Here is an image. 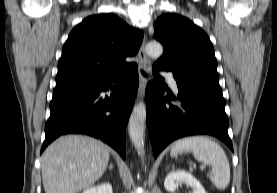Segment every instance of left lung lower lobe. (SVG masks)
Here are the masks:
<instances>
[{
	"label": "left lung lower lobe",
	"instance_id": "0a47b994",
	"mask_svg": "<svg viewBox=\"0 0 277 193\" xmlns=\"http://www.w3.org/2000/svg\"><path fill=\"white\" fill-rule=\"evenodd\" d=\"M158 70L163 69L154 65V81L146 89V119L154 157L170 142L197 134L215 136L233 151L219 80H176L178 98L172 95L163 97L164 79L158 75ZM172 99L181 104H170Z\"/></svg>",
	"mask_w": 277,
	"mask_h": 193
}]
</instances>
